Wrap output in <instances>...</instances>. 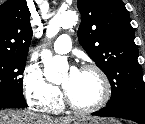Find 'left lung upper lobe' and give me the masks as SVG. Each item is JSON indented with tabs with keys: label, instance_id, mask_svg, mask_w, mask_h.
Instances as JSON below:
<instances>
[{
	"label": "left lung upper lobe",
	"instance_id": "obj_1",
	"mask_svg": "<svg viewBox=\"0 0 145 124\" xmlns=\"http://www.w3.org/2000/svg\"><path fill=\"white\" fill-rule=\"evenodd\" d=\"M82 21L78 39L111 84L107 106L132 102L145 105V88L134 29L121 0H78Z\"/></svg>",
	"mask_w": 145,
	"mask_h": 124
}]
</instances>
